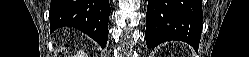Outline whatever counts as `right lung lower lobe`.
Listing matches in <instances>:
<instances>
[{
	"instance_id": "obj_1",
	"label": "right lung lower lobe",
	"mask_w": 249,
	"mask_h": 57,
	"mask_svg": "<svg viewBox=\"0 0 249 57\" xmlns=\"http://www.w3.org/2000/svg\"><path fill=\"white\" fill-rule=\"evenodd\" d=\"M109 15L108 0H52L50 30L52 32L60 27H74L105 47Z\"/></svg>"
}]
</instances>
